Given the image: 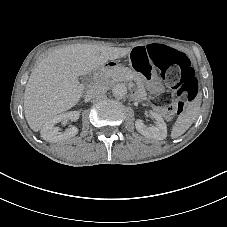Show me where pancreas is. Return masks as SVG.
Segmentation results:
<instances>
[{"mask_svg": "<svg viewBox=\"0 0 227 227\" xmlns=\"http://www.w3.org/2000/svg\"><path fill=\"white\" fill-rule=\"evenodd\" d=\"M129 80L135 81L139 92L145 95V89L143 88V83L140 80L138 73L123 66H115L101 72L97 77V84H109L114 81L127 82Z\"/></svg>", "mask_w": 227, "mask_h": 227, "instance_id": "pancreas-1", "label": "pancreas"}]
</instances>
